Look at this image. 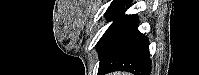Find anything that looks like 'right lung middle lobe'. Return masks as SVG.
Wrapping results in <instances>:
<instances>
[{
    "instance_id": "dd1d6c3e",
    "label": "right lung middle lobe",
    "mask_w": 199,
    "mask_h": 75,
    "mask_svg": "<svg viewBox=\"0 0 199 75\" xmlns=\"http://www.w3.org/2000/svg\"><path fill=\"white\" fill-rule=\"evenodd\" d=\"M127 4H128V1L126 0H120L118 2L112 3L105 13V16L108 19V21L115 20L118 17V15L124 10ZM104 35L100 38L99 42L97 43V46H96L97 48L100 46L104 38Z\"/></svg>"
}]
</instances>
